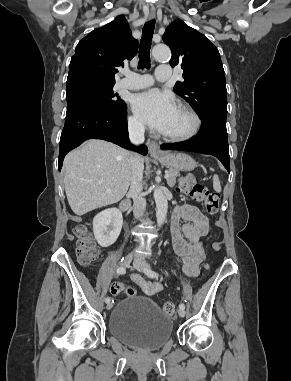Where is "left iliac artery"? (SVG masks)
Wrapping results in <instances>:
<instances>
[{
    "label": "left iliac artery",
    "mask_w": 291,
    "mask_h": 381,
    "mask_svg": "<svg viewBox=\"0 0 291 381\" xmlns=\"http://www.w3.org/2000/svg\"><path fill=\"white\" fill-rule=\"evenodd\" d=\"M145 274L151 278H158L159 277V274L157 272L151 270L150 268L146 269ZM179 308L185 309V304L180 303Z\"/></svg>",
    "instance_id": "44dca946"
}]
</instances>
